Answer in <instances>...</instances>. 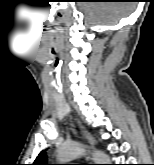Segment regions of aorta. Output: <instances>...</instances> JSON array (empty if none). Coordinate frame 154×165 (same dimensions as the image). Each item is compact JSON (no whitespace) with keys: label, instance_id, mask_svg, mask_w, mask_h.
Segmentation results:
<instances>
[{"label":"aorta","instance_id":"762f6f07","mask_svg":"<svg viewBox=\"0 0 154 165\" xmlns=\"http://www.w3.org/2000/svg\"><path fill=\"white\" fill-rule=\"evenodd\" d=\"M83 151V145L76 142L63 145L58 149L57 160L61 164H66L67 162L74 160L76 157L82 154ZM93 160L95 164H110L108 155L99 150L94 152Z\"/></svg>","mask_w":154,"mask_h":165}]
</instances>
